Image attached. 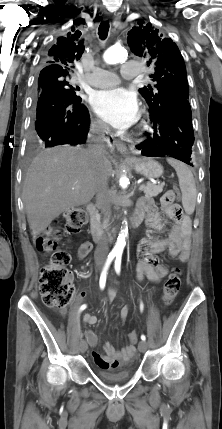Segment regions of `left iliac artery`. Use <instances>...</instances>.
Listing matches in <instances>:
<instances>
[{
  "label": "left iliac artery",
  "mask_w": 222,
  "mask_h": 429,
  "mask_svg": "<svg viewBox=\"0 0 222 429\" xmlns=\"http://www.w3.org/2000/svg\"><path fill=\"white\" fill-rule=\"evenodd\" d=\"M121 255H117L116 256V260H115V264H114V268H115V271H116V273L117 274H119L120 273V269H121ZM140 309H141V311L143 310V303L141 302V304H140ZM141 339L143 340V341H145L146 340V337H145V335H141Z\"/></svg>",
  "instance_id": "44dca946"
}]
</instances>
